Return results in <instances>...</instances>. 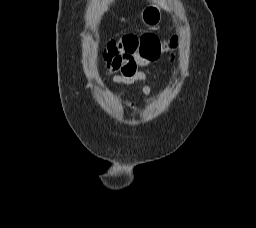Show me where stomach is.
<instances>
[{"label": "stomach", "instance_id": "obj_1", "mask_svg": "<svg viewBox=\"0 0 256 228\" xmlns=\"http://www.w3.org/2000/svg\"><path fill=\"white\" fill-rule=\"evenodd\" d=\"M141 19L148 27L158 26L161 21L160 12L154 7H146L141 12Z\"/></svg>", "mask_w": 256, "mask_h": 228}]
</instances>
